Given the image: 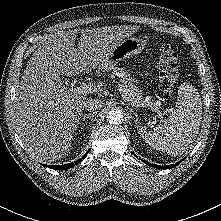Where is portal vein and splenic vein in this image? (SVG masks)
<instances>
[{"mask_svg":"<svg viewBox=\"0 0 221 221\" xmlns=\"http://www.w3.org/2000/svg\"><path fill=\"white\" fill-rule=\"evenodd\" d=\"M74 91L78 94H90L93 93L95 91V89L93 88L92 85H88V84H81L80 86H77ZM119 91L121 92L122 96L127 97V92L125 90V88L122 85H119ZM128 98V97H127ZM131 104L133 106H145V107H150L152 111L158 112V114H161V112L159 111V104L156 103L155 105L150 104L149 102L147 103H138V102H134L132 101Z\"/></svg>","mask_w":221,"mask_h":221,"instance_id":"obj_1","label":"portal vein and splenic vein"}]
</instances>
